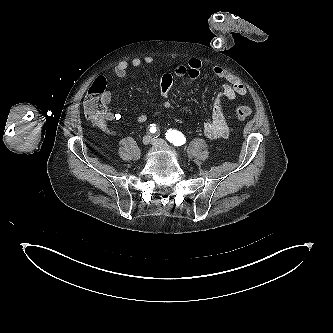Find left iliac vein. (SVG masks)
<instances>
[{
    "mask_svg": "<svg viewBox=\"0 0 333 333\" xmlns=\"http://www.w3.org/2000/svg\"><path fill=\"white\" fill-rule=\"evenodd\" d=\"M152 144L156 145V146H167V143L164 140L159 139V138H153Z\"/></svg>",
    "mask_w": 333,
    "mask_h": 333,
    "instance_id": "left-iliac-vein-1",
    "label": "left iliac vein"
}]
</instances>
